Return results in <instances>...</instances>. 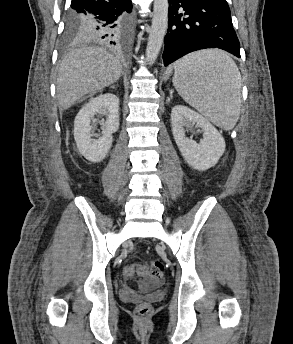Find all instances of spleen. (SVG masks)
I'll list each match as a JSON object with an SVG mask.
<instances>
[{"instance_id": "1", "label": "spleen", "mask_w": 293, "mask_h": 344, "mask_svg": "<svg viewBox=\"0 0 293 344\" xmlns=\"http://www.w3.org/2000/svg\"><path fill=\"white\" fill-rule=\"evenodd\" d=\"M173 84L178 94L215 125L232 129L241 103V75L232 58L217 49L202 50L177 61Z\"/></svg>"}]
</instances>
